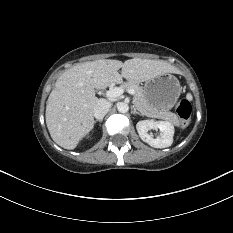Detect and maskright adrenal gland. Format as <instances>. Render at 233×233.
I'll return each instance as SVG.
<instances>
[{"mask_svg":"<svg viewBox=\"0 0 233 233\" xmlns=\"http://www.w3.org/2000/svg\"><path fill=\"white\" fill-rule=\"evenodd\" d=\"M98 121H99V122H102V119H101V120H96L95 123L98 122Z\"/></svg>","mask_w":233,"mask_h":233,"instance_id":"2a0ac1e0","label":"right adrenal gland"}]
</instances>
